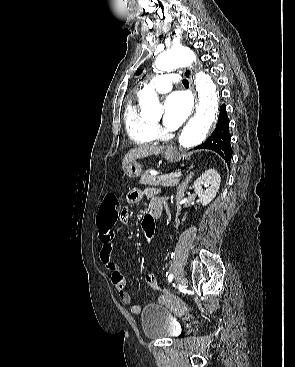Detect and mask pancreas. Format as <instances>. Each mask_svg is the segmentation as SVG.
<instances>
[{"label":"pancreas","mask_w":295,"mask_h":367,"mask_svg":"<svg viewBox=\"0 0 295 367\" xmlns=\"http://www.w3.org/2000/svg\"><path fill=\"white\" fill-rule=\"evenodd\" d=\"M179 182H180L179 176L175 174H169L166 175V178H161V176H156L149 173H144L139 181L140 184L150 186H158V185L171 186V185H177L179 184Z\"/></svg>","instance_id":"pancreas-1"}]
</instances>
